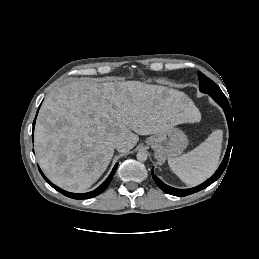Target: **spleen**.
I'll list each match as a JSON object with an SVG mask.
<instances>
[{
    "label": "spleen",
    "instance_id": "3e777b00",
    "mask_svg": "<svg viewBox=\"0 0 259 259\" xmlns=\"http://www.w3.org/2000/svg\"><path fill=\"white\" fill-rule=\"evenodd\" d=\"M223 131L216 130L192 151L169 158L170 169L185 183L197 185L209 178L217 169L222 149Z\"/></svg>",
    "mask_w": 259,
    "mask_h": 259
}]
</instances>
